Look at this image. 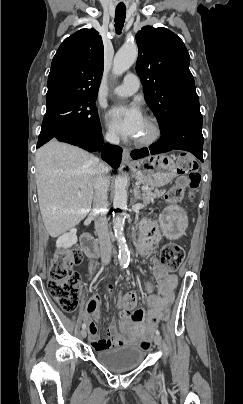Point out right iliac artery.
<instances>
[{"label":"right iliac artery","mask_w":243,"mask_h":404,"mask_svg":"<svg viewBox=\"0 0 243 404\" xmlns=\"http://www.w3.org/2000/svg\"><path fill=\"white\" fill-rule=\"evenodd\" d=\"M85 327H86V325H85V324H82V329H85Z\"/></svg>","instance_id":"82829eb1"}]
</instances>
